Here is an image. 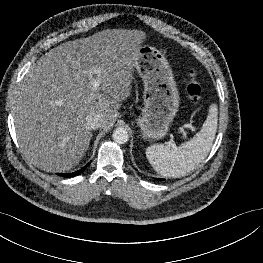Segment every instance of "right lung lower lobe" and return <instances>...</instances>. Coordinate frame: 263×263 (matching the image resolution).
Returning a JSON list of instances; mask_svg holds the SVG:
<instances>
[{
    "instance_id": "obj_1",
    "label": "right lung lower lobe",
    "mask_w": 263,
    "mask_h": 263,
    "mask_svg": "<svg viewBox=\"0 0 263 263\" xmlns=\"http://www.w3.org/2000/svg\"><path fill=\"white\" fill-rule=\"evenodd\" d=\"M89 164H90V163H88L85 167H83L82 169H80V170L77 171V172L70 173V174H59V175H61V176H63V177H74V176H77V175L81 174V173L87 168V166H88Z\"/></svg>"
}]
</instances>
